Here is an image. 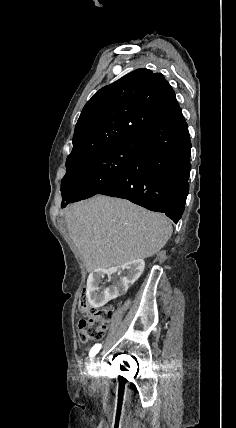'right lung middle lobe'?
<instances>
[{
	"label": "right lung middle lobe",
	"instance_id": "dd1d6c3e",
	"mask_svg": "<svg viewBox=\"0 0 236 428\" xmlns=\"http://www.w3.org/2000/svg\"><path fill=\"white\" fill-rule=\"evenodd\" d=\"M137 148L136 139L126 140L68 166L61 183V207L96 195L127 167Z\"/></svg>",
	"mask_w": 236,
	"mask_h": 428
}]
</instances>
